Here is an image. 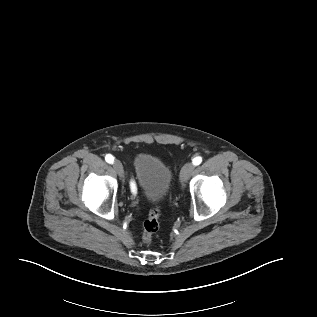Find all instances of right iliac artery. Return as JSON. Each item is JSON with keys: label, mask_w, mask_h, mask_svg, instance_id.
<instances>
[{"label": "right iliac artery", "mask_w": 317, "mask_h": 317, "mask_svg": "<svg viewBox=\"0 0 317 317\" xmlns=\"http://www.w3.org/2000/svg\"><path fill=\"white\" fill-rule=\"evenodd\" d=\"M105 160H106V162H108V163H113L114 157H113L111 154H107V155L105 156Z\"/></svg>", "instance_id": "82829eb1"}]
</instances>
